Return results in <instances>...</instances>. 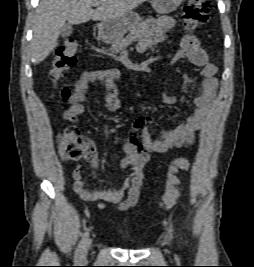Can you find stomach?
<instances>
[{"mask_svg": "<svg viewBox=\"0 0 254 267\" xmlns=\"http://www.w3.org/2000/svg\"><path fill=\"white\" fill-rule=\"evenodd\" d=\"M183 0H152V7L157 13L168 14L175 11ZM141 21L140 16L135 12H130L120 18L101 21L97 26L98 37L111 43L131 31Z\"/></svg>", "mask_w": 254, "mask_h": 267, "instance_id": "0dacf381", "label": "stomach"}]
</instances>
